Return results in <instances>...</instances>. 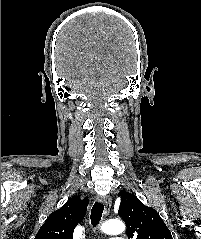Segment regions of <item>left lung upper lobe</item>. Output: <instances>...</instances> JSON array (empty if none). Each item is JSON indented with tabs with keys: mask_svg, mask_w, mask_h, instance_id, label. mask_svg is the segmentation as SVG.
Returning a JSON list of instances; mask_svg holds the SVG:
<instances>
[{
	"mask_svg": "<svg viewBox=\"0 0 201 239\" xmlns=\"http://www.w3.org/2000/svg\"><path fill=\"white\" fill-rule=\"evenodd\" d=\"M118 210L127 226L129 239H173L156 210L144 205L133 193L121 191Z\"/></svg>",
	"mask_w": 201,
	"mask_h": 239,
	"instance_id": "5c2ea615",
	"label": "left lung upper lobe"
}]
</instances>
